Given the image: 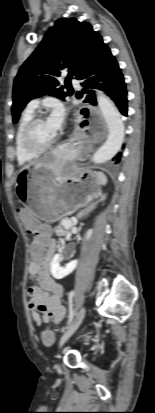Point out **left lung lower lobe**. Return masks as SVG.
<instances>
[{
    "label": "left lung lower lobe",
    "instance_id": "left-lung-lower-lobe-1",
    "mask_svg": "<svg viewBox=\"0 0 155 413\" xmlns=\"http://www.w3.org/2000/svg\"><path fill=\"white\" fill-rule=\"evenodd\" d=\"M81 80L83 81L81 85L84 87L83 93L88 94L84 102L96 105L93 91H89V88H99L115 102L121 114L127 116V90L124 77L107 45ZM121 156L122 151L113 158L116 164L120 162Z\"/></svg>",
    "mask_w": 155,
    "mask_h": 413
}]
</instances>
